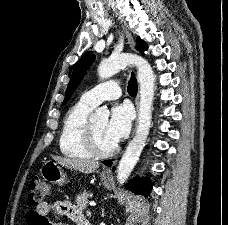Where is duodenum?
Instances as JSON below:
<instances>
[{"label": "duodenum", "mask_w": 228, "mask_h": 225, "mask_svg": "<svg viewBox=\"0 0 228 225\" xmlns=\"http://www.w3.org/2000/svg\"><path fill=\"white\" fill-rule=\"evenodd\" d=\"M77 224L78 225H90L89 221L84 217H81Z\"/></svg>", "instance_id": "duodenum-1"}]
</instances>
